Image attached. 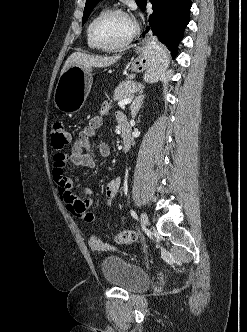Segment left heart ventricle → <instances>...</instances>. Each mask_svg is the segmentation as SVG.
Wrapping results in <instances>:
<instances>
[{"label": "left heart ventricle", "mask_w": 247, "mask_h": 332, "mask_svg": "<svg viewBox=\"0 0 247 332\" xmlns=\"http://www.w3.org/2000/svg\"><path fill=\"white\" fill-rule=\"evenodd\" d=\"M133 30L132 20L115 14L102 20L96 29L98 38L105 44L115 45L124 41Z\"/></svg>", "instance_id": "left-heart-ventricle-1"}]
</instances>
